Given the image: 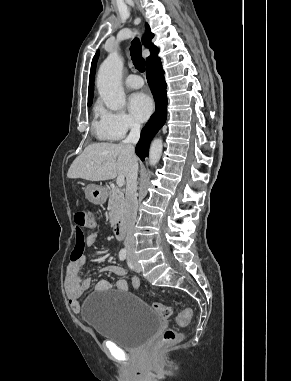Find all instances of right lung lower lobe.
Returning a JSON list of instances; mask_svg holds the SVG:
<instances>
[{
  "label": "right lung lower lobe",
  "instance_id": "obj_1",
  "mask_svg": "<svg viewBox=\"0 0 291 381\" xmlns=\"http://www.w3.org/2000/svg\"><path fill=\"white\" fill-rule=\"evenodd\" d=\"M146 74L155 100L156 111L142 129L140 140L136 145L135 152L142 161L148 156L149 145L153 136L164 125L167 118L166 82L160 59L147 65Z\"/></svg>",
  "mask_w": 291,
  "mask_h": 381
}]
</instances>
